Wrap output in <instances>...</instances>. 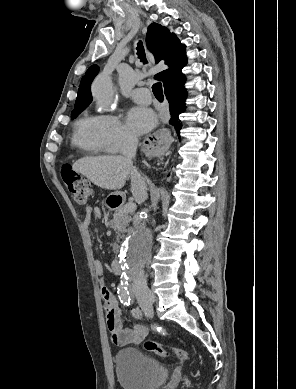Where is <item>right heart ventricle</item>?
Wrapping results in <instances>:
<instances>
[{
    "label": "right heart ventricle",
    "mask_w": 296,
    "mask_h": 389,
    "mask_svg": "<svg viewBox=\"0 0 296 389\" xmlns=\"http://www.w3.org/2000/svg\"><path fill=\"white\" fill-rule=\"evenodd\" d=\"M72 142L75 146L93 154L107 151L100 127V116L85 115L75 124Z\"/></svg>",
    "instance_id": "e07e8e85"
}]
</instances>
